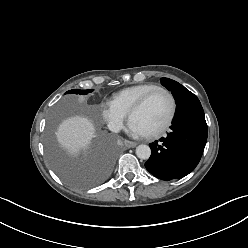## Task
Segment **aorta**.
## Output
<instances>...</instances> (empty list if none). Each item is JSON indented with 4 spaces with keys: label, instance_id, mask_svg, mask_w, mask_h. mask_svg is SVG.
I'll return each mask as SVG.
<instances>
[{
    "label": "aorta",
    "instance_id": "762f6f07",
    "mask_svg": "<svg viewBox=\"0 0 248 248\" xmlns=\"http://www.w3.org/2000/svg\"><path fill=\"white\" fill-rule=\"evenodd\" d=\"M136 155L140 159H148L151 155V149L148 145L141 144L136 148Z\"/></svg>",
    "mask_w": 248,
    "mask_h": 248
}]
</instances>
